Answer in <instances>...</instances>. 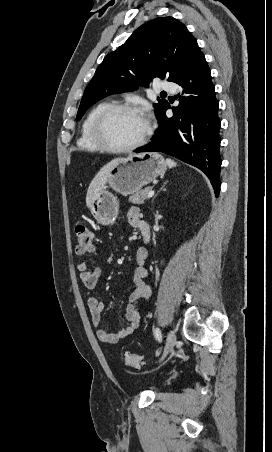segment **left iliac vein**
Instances as JSON below:
<instances>
[{
  "mask_svg": "<svg viewBox=\"0 0 272 452\" xmlns=\"http://www.w3.org/2000/svg\"><path fill=\"white\" fill-rule=\"evenodd\" d=\"M176 342V335L173 330H170L167 334L166 343H165V349L163 352V355L160 359V362L165 359V357L170 353L171 349L174 347Z\"/></svg>",
  "mask_w": 272,
  "mask_h": 452,
  "instance_id": "obj_1",
  "label": "left iliac vein"
}]
</instances>
